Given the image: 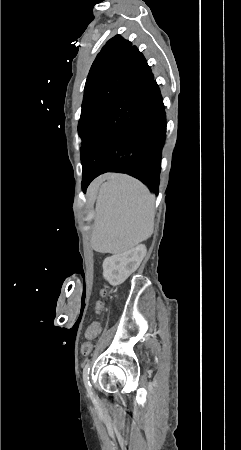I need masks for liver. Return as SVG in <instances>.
<instances>
[{
	"label": "liver",
	"instance_id": "obj_1",
	"mask_svg": "<svg viewBox=\"0 0 241 450\" xmlns=\"http://www.w3.org/2000/svg\"><path fill=\"white\" fill-rule=\"evenodd\" d=\"M109 178H111V174H106V176H100V178H97V180H95V184L96 182H102V180H109Z\"/></svg>",
	"mask_w": 241,
	"mask_h": 450
}]
</instances>
